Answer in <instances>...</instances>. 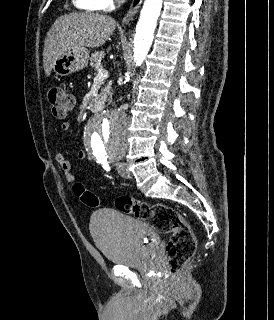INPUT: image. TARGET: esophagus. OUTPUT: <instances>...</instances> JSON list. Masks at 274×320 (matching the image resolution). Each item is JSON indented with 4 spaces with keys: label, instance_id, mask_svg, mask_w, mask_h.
<instances>
[{
    "label": "esophagus",
    "instance_id": "obj_1",
    "mask_svg": "<svg viewBox=\"0 0 274 320\" xmlns=\"http://www.w3.org/2000/svg\"><path fill=\"white\" fill-rule=\"evenodd\" d=\"M143 0H132L131 5L128 9V12L124 16L122 23L126 24L129 23L133 18L135 17L136 13L138 12V9L141 6Z\"/></svg>",
    "mask_w": 274,
    "mask_h": 320
}]
</instances>
